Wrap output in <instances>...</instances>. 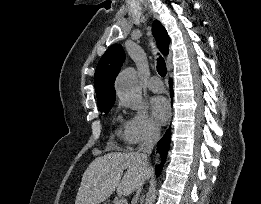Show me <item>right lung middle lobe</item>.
Wrapping results in <instances>:
<instances>
[{"instance_id":"obj_1","label":"right lung middle lobe","mask_w":261,"mask_h":204,"mask_svg":"<svg viewBox=\"0 0 261 204\" xmlns=\"http://www.w3.org/2000/svg\"><path fill=\"white\" fill-rule=\"evenodd\" d=\"M114 104V101L113 102H107L105 104H101V105H98L99 109L101 112H105L107 113L113 106Z\"/></svg>"}]
</instances>
